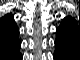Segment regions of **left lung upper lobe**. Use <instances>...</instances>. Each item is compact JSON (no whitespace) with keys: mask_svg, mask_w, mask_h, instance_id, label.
Returning a JSON list of instances; mask_svg holds the SVG:
<instances>
[{"mask_svg":"<svg viewBox=\"0 0 80 60\" xmlns=\"http://www.w3.org/2000/svg\"><path fill=\"white\" fill-rule=\"evenodd\" d=\"M58 32H60V29H58ZM61 32L65 33V30H62ZM66 35V34H65Z\"/></svg>","mask_w":80,"mask_h":60,"instance_id":"left-lung-upper-lobe-1","label":"left lung upper lobe"}]
</instances>
